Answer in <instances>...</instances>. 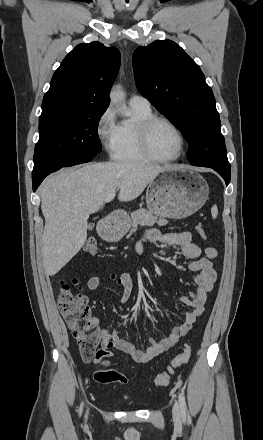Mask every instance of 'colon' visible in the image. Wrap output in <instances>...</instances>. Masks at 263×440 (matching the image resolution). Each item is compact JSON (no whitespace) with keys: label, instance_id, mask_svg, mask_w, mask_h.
Returning <instances> with one entry per match:
<instances>
[{"label":"colon","instance_id":"5ec220e1","mask_svg":"<svg viewBox=\"0 0 263 440\" xmlns=\"http://www.w3.org/2000/svg\"><path fill=\"white\" fill-rule=\"evenodd\" d=\"M198 235L206 238V233L202 225L196 227ZM84 252L90 256L98 255L97 243L90 238L83 248ZM61 290L58 296V305L66 324L78 343L80 356L83 360L94 359L97 369L94 372V379L99 383H119L127 384L128 380L122 374L111 368V355L106 350L96 351L98 343L97 333L92 325L91 309L88 299L80 290L77 279L71 281H61ZM74 288L76 290H74ZM191 346L185 344L179 355L172 361L166 371L162 372L155 380L157 387H166L175 372L183 367L189 360Z\"/></svg>","mask_w":263,"mask_h":440}]
</instances>
